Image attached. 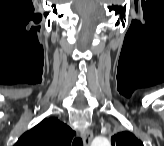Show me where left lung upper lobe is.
Returning a JSON list of instances; mask_svg holds the SVG:
<instances>
[{
    "instance_id": "left-lung-upper-lobe-1",
    "label": "left lung upper lobe",
    "mask_w": 164,
    "mask_h": 146,
    "mask_svg": "<svg viewBox=\"0 0 164 146\" xmlns=\"http://www.w3.org/2000/svg\"><path fill=\"white\" fill-rule=\"evenodd\" d=\"M112 146H143V143L129 131L115 134L111 138Z\"/></svg>"
}]
</instances>
